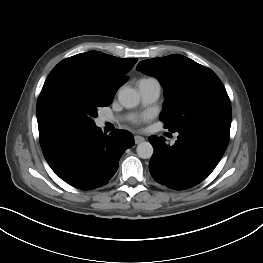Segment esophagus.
<instances>
[{
    "mask_svg": "<svg viewBox=\"0 0 263 263\" xmlns=\"http://www.w3.org/2000/svg\"><path fill=\"white\" fill-rule=\"evenodd\" d=\"M134 139H135L136 144H139L145 140L144 137L139 136V135L134 136Z\"/></svg>",
    "mask_w": 263,
    "mask_h": 263,
    "instance_id": "obj_1",
    "label": "esophagus"
}]
</instances>
